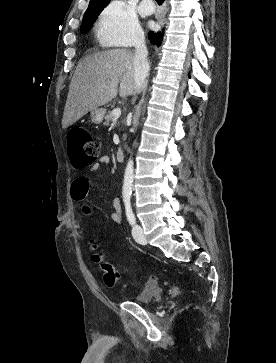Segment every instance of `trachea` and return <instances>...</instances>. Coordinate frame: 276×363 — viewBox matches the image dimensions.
I'll list each match as a JSON object with an SVG mask.
<instances>
[{
	"label": "trachea",
	"mask_w": 276,
	"mask_h": 363,
	"mask_svg": "<svg viewBox=\"0 0 276 363\" xmlns=\"http://www.w3.org/2000/svg\"><path fill=\"white\" fill-rule=\"evenodd\" d=\"M156 2H157L159 5H161V4L164 2V0H156Z\"/></svg>",
	"instance_id": "3493384b"
}]
</instances>
